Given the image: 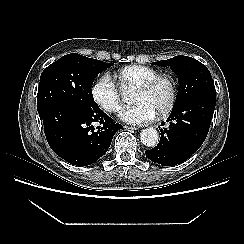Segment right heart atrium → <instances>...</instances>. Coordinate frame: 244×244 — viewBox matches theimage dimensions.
<instances>
[{
	"label": "right heart atrium",
	"instance_id": "obj_1",
	"mask_svg": "<svg viewBox=\"0 0 244 244\" xmlns=\"http://www.w3.org/2000/svg\"><path fill=\"white\" fill-rule=\"evenodd\" d=\"M93 101L108 113H116L122 107L121 91L107 75L99 77L91 88Z\"/></svg>",
	"mask_w": 244,
	"mask_h": 244
}]
</instances>
